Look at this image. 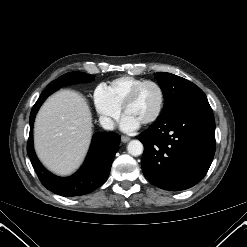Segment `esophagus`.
<instances>
[{"mask_svg": "<svg viewBox=\"0 0 247 247\" xmlns=\"http://www.w3.org/2000/svg\"><path fill=\"white\" fill-rule=\"evenodd\" d=\"M121 141H122L123 143H127L128 141H130V138L127 137V136H122V137H121Z\"/></svg>", "mask_w": 247, "mask_h": 247, "instance_id": "esophagus-1", "label": "esophagus"}]
</instances>
